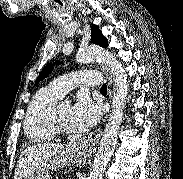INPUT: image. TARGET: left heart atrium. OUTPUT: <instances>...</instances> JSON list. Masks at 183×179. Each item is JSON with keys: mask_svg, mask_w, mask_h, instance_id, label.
Here are the masks:
<instances>
[{"mask_svg": "<svg viewBox=\"0 0 183 179\" xmlns=\"http://www.w3.org/2000/svg\"><path fill=\"white\" fill-rule=\"evenodd\" d=\"M101 115L99 107L87 96H80L72 107L70 124L74 131L84 132L93 127Z\"/></svg>", "mask_w": 183, "mask_h": 179, "instance_id": "39dd6f15", "label": "left heart atrium"}]
</instances>
